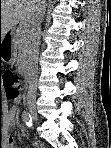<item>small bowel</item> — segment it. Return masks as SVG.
I'll use <instances>...</instances> for the list:
<instances>
[{"label":"small bowel","instance_id":"small-bowel-1","mask_svg":"<svg viewBox=\"0 0 111 148\" xmlns=\"http://www.w3.org/2000/svg\"><path fill=\"white\" fill-rule=\"evenodd\" d=\"M19 113V109L16 105L12 106L8 112V127L12 128L16 125V118ZM7 148L15 147V143L12 138H8Z\"/></svg>","mask_w":111,"mask_h":148}]
</instances>
